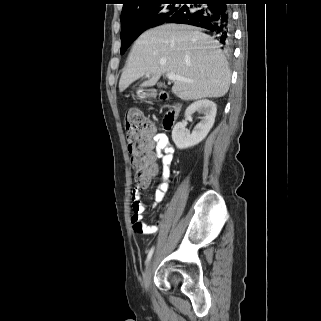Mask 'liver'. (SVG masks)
I'll use <instances>...</instances> for the list:
<instances>
[{"mask_svg": "<svg viewBox=\"0 0 321 321\" xmlns=\"http://www.w3.org/2000/svg\"><path fill=\"white\" fill-rule=\"evenodd\" d=\"M165 73L175 81L172 92L182 100L218 98L230 85V71L219 42L195 27L165 24L143 33L134 43L123 71L119 90L149 74L141 87L154 86Z\"/></svg>", "mask_w": 321, "mask_h": 321, "instance_id": "1", "label": "liver"}]
</instances>
